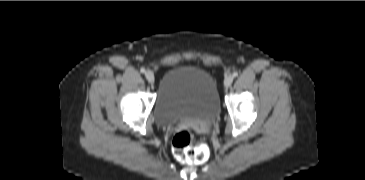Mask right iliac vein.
<instances>
[{"label": "right iliac vein", "mask_w": 365, "mask_h": 180, "mask_svg": "<svg viewBox=\"0 0 365 180\" xmlns=\"http://www.w3.org/2000/svg\"><path fill=\"white\" fill-rule=\"evenodd\" d=\"M145 77H146L147 81L150 83H153L155 80L154 74L151 71H147L145 73Z\"/></svg>", "instance_id": "1"}]
</instances>
